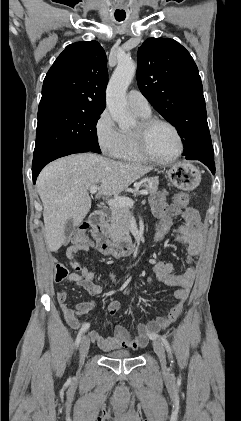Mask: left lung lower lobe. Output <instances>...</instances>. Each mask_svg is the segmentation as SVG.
I'll return each mask as SVG.
<instances>
[{
  "mask_svg": "<svg viewBox=\"0 0 241 421\" xmlns=\"http://www.w3.org/2000/svg\"><path fill=\"white\" fill-rule=\"evenodd\" d=\"M195 159L204 163L206 166H208L211 172L215 174V163L213 156H197Z\"/></svg>",
  "mask_w": 241,
  "mask_h": 421,
  "instance_id": "obj_1",
  "label": "left lung lower lobe"
}]
</instances>
